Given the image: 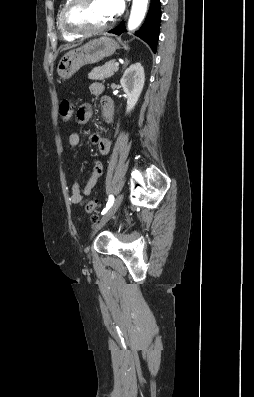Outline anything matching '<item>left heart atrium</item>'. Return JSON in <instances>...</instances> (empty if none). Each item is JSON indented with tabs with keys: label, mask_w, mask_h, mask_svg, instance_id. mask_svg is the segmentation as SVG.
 Here are the masks:
<instances>
[{
	"label": "left heart atrium",
	"mask_w": 254,
	"mask_h": 397,
	"mask_svg": "<svg viewBox=\"0 0 254 397\" xmlns=\"http://www.w3.org/2000/svg\"><path fill=\"white\" fill-rule=\"evenodd\" d=\"M104 7L110 17H114L121 13L124 7V0H102Z\"/></svg>",
	"instance_id": "left-heart-atrium-1"
}]
</instances>
